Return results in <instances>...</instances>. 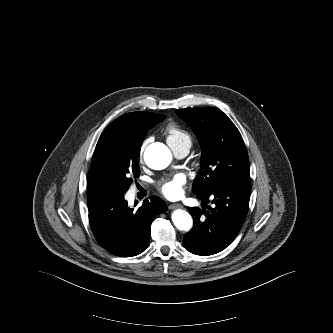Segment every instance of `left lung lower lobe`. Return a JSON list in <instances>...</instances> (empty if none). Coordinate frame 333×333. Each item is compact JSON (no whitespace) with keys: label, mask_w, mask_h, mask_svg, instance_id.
Wrapping results in <instances>:
<instances>
[{"label":"left lung lower lobe","mask_w":333,"mask_h":333,"mask_svg":"<svg viewBox=\"0 0 333 333\" xmlns=\"http://www.w3.org/2000/svg\"><path fill=\"white\" fill-rule=\"evenodd\" d=\"M251 182L237 181L222 185L197 198L204 203L212 199L209 210L188 207L194 228L183 239L185 248L196 255H213L225 249L239 233L248 211Z\"/></svg>","instance_id":"1"}]
</instances>
